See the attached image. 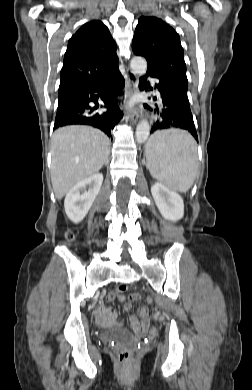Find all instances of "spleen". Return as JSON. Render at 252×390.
I'll list each match as a JSON object with an SVG mask.
<instances>
[{"label": "spleen", "mask_w": 252, "mask_h": 390, "mask_svg": "<svg viewBox=\"0 0 252 390\" xmlns=\"http://www.w3.org/2000/svg\"><path fill=\"white\" fill-rule=\"evenodd\" d=\"M150 174L168 188L186 192L197 173V146L185 131L170 129L154 133L145 148Z\"/></svg>", "instance_id": "1"}]
</instances>
